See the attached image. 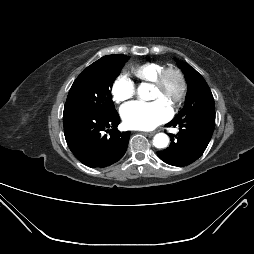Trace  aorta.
Segmentation results:
<instances>
[{
    "instance_id": "obj_1",
    "label": "aorta",
    "mask_w": 254,
    "mask_h": 254,
    "mask_svg": "<svg viewBox=\"0 0 254 254\" xmlns=\"http://www.w3.org/2000/svg\"><path fill=\"white\" fill-rule=\"evenodd\" d=\"M144 92H145V87L144 86H140L138 88V95L140 97H143L144 96ZM153 144L157 148H166L168 146V144H169V138L164 133H158V134H156L154 136Z\"/></svg>"
}]
</instances>
